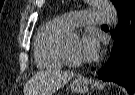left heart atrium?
<instances>
[{"label": "left heart atrium", "instance_id": "39dd6f15", "mask_svg": "<svg viewBox=\"0 0 135 95\" xmlns=\"http://www.w3.org/2000/svg\"><path fill=\"white\" fill-rule=\"evenodd\" d=\"M99 42L92 32L85 33L78 42L77 53L81 61L92 60L98 52Z\"/></svg>", "mask_w": 135, "mask_h": 95}]
</instances>
